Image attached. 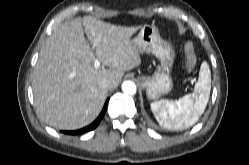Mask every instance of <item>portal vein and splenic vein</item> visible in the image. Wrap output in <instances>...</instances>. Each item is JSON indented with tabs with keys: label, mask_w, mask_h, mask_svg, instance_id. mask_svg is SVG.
<instances>
[{
	"label": "portal vein and splenic vein",
	"mask_w": 249,
	"mask_h": 165,
	"mask_svg": "<svg viewBox=\"0 0 249 165\" xmlns=\"http://www.w3.org/2000/svg\"><path fill=\"white\" fill-rule=\"evenodd\" d=\"M94 67L99 68L100 67V61L98 59L94 60Z\"/></svg>",
	"instance_id": "1"
}]
</instances>
